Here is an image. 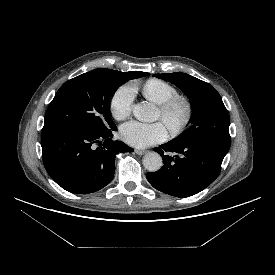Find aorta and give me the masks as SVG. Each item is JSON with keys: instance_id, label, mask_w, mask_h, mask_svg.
I'll use <instances>...</instances> for the list:
<instances>
[{"instance_id": "1", "label": "aorta", "mask_w": 275, "mask_h": 275, "mask_svg": "<svg viewBox=\"0 0 275 275\" xmlns=\"http://www.w3.org/2000/svg\"><path fill=\"white\" fill-rule=\"evenodd\" d=\"M133 114L139 121L147 122L155 118V108L150 103L141 102L133 107ZM143 165L149 172L160 170L163 165V160L157 152H149L143 158Z\"/></svg>"}]
</instances>
